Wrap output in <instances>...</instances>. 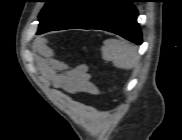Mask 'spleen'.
<instances>
[{
  "label": "spleen",
  "instance_id": "3e777b00",
  "mask_svg": "<svg viewBox=\"0 0 182 140\" xmlns=\"http://www.w3.org/2000/svg\"><path fill=\"white\" fill-rule=\"evenodd\" d=\"M102 57L120 69H132L139 63L137 49L124 40L107 39L103 43Z\"/></svg>",
  "mask_w": 182,
  "mask_h": 140
}]
</instances>
